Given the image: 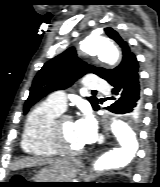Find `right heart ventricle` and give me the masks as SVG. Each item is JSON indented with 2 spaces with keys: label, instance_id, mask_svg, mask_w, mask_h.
<instances>
[{
  "label": "right heart ventricle",
  "instance_id": "right-heart-ventricle-1",
  "mask_svg": "<svg viewBox=\"0 0 160 187\" xmlns=\"http://www.w3.org/2000/svg\"><path fill=\"white\" fill-rule=\"evenodd\" d=\"M62 110L48 100L36 105L29 113L24 124L21 148L24 153L48 158L57 155L51 145L50 130L52 121Z\"/></svg>",
  "mask_w": 160,
  "mask_h": 187
}]
</instances>
